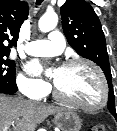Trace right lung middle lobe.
I'll list each match as a JSON object with an SVG mask.
<instances>
[{
    "label": "right lung middle lobe",
    "mask_w": 117,
    "mask_h": 131,
    "mask_svg": "<svg viewBox=\"0 0 117 131\" xmlns=\"http://www.w3.org/2000/svg\"><path fill=\"white\" fill-rule=\"evenodd\" d=\"M8 52H0V89L15 93L17 85L15 82V62L6 57Z\"/></svg>",
    "instance_id": "dd1d6c3e"
}]
</instances>
